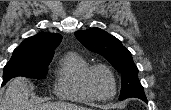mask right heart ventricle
Returning <instances> with one entry per match:
<instances>
[{
    "instance_id": "1",
    "label": "right heart ventricle",
    "mask_w": 171,
    "mask_h": 110,
    "mask_svg": "<svg viewBox=\"0 0 171 110\" xmlns=\"http://www.w3.org/2000/svg\"><path fill=\"white\" fill-rule=\"evenodd\" d=\"M90 67L85 57L76 52L66 53L60 60L55 84V94L76 102H91L94 99L84 85V74Z\"/></svg>"
}]
</instances>
